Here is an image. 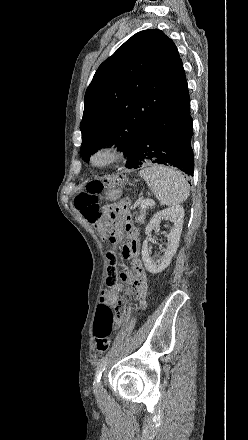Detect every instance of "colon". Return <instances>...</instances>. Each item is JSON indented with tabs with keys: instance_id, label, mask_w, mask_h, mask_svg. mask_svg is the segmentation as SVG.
Masks as SVG:
<instances>
[{
	"instance_id": "colon-1",
	"label": "colon",
	"mask_w": 248,
	"mask_h": 440,
	"mask_svg": "<svg viewBox=\"0 0 248 440\" xmlns=\"http://www.w3.org/2000/svg\"><path fill=\"white\" fill-rule=\"evenodd\" d=\"M102 188L103 185L99 181L89 182L86 191L76 197L75 206L82 216L97 228L102 237L107 238L113 247H118L119 238L114 231L112 221L109 217L104 215L97 203V194L101 192ZM111 257H116L114 251L108 252V261ZM114 319L115 316L110 306L104 302H100L97 307L93 328L98 354H104L109 350L110 334Z\"/></svg>"
}]
</instances>
